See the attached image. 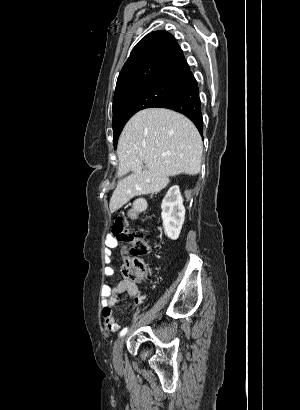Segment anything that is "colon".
<instances>
[{"mask_svg":"<svg viewBox=\"0 0 300 410\" xmlns=\"http://www.w3.org/2000/svg\"><path fill=\"white\" fill-rule=\"evenodd\" d=\"M114 229L116 237L129 247V258L121 267L122 276L128 281L139 280L147 272L140 257L150 251L145 234L126 229L120 219L116 221Z\"/></svg>","mask_w":300,"mask_h":410,"instance_id":"1","label":"colon"}]
</instances>
